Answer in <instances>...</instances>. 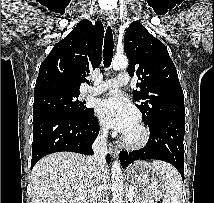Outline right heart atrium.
<instances>
[{"label":"right heart atrium","mask_w":214,"mask_h":203,"mask_svg":"<svg viewBox=\"0 0 214 203\" xmlns=\"http://www.w3.org/2000/svg\"><path fill=\"white\" fill-rule=\"evenodd\" d=\"M100 131L101 133H106V128L104 126H101Z\"/></svg>","instance_id":"1"}]
</instances>
